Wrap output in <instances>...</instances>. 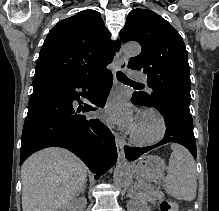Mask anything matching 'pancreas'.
Segmentation results:
<instances>
[{
  "label": "pancreas",
  "mask_w": 219,
  "mask_h": 211,
  "mask_svg": "<svg viewBox=\"0 0 219 211\" xmlns=\"http://www.w3.org/2000/svg\"><path fill=\"white\" fill-rule=\"evenodd\" d=\"M134 187L137 189V191H139L134 195L135 200L147 199V201H153V203H155V199H159V197L162 195L158 189H153V187H150V185H148V187H146V185Z\"/></svg>",
  "instance_id": "pancreas-1"
}]
</instances>
